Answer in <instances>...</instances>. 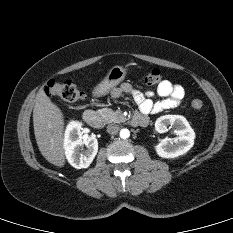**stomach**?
<instances>
[{
	"instance_id": "0dacf381",
	"label": "stomach",
	"mask_w": 233,
	"mask_h": 233,
	"mask_svg": "<svg viewBox=\"0 0 233 233\" xmlns=\"http://www.w3.org/2000/svg\"><path fill=\"white\" fill-rule=\"evenodd\" d=\"M127 74V70L119 65L112 67L104 80L95 88L94 95L103 96L110 92L115 86L121 83Z\"/></svg>"
}]
</instances>
